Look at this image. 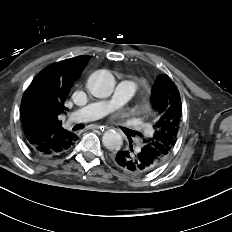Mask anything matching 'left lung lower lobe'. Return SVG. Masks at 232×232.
<instances>
[{
	"label": "left lung lower lobe",
	"mask_w": 232,
	"mask_h": 232,
	"mask_svg": "<svg viewBox=\"0 0 232 232\" xmlns=\"http://www.w3.org/2000/svg\"><path fill=\"white\" fill-rule=\"evenodd\" d=\"M114 164L122 171L132 175H145L157 169L162 163L156 156L145 149L134 152L120 150L112 158Z\"/></svg>",
	"instance_id": "1"
}]
</instances>
